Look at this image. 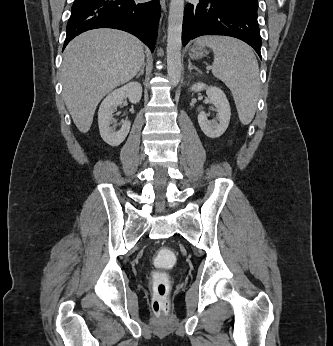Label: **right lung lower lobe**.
<instances>
[{
	"instance_id": "obj_1",
	"label": "right lung lower lobe",
	"mask_w": 333,
	"mask_h": 346,
	"mask_svg": "<svg viewBox=\"0 0 333 346\" xmlns=\"http://www.w3.org/2000/svg\"><path fill=\"white\" fill-rule=\"evenodd\" d=\"M158 0H75L67 23L63 49L77 35L96 28H114L129 32L154 50Z\"/></svg>"
}]
</instances>
